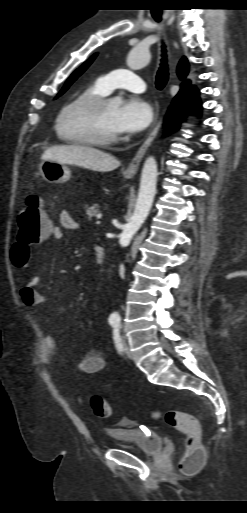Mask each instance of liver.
Here are the masks:
<instances>
[{"label": "liver", "instance_id": "liver-1", "mask_svg": "<svg viewBox=\"0 0 247 513\" xmlns=\"http://www.w3.org/2000/svg\"><path fill=\"white\" fill-rule=\"evenodd\" d=\"M41 159L73 164L97 172H108L120 165L110 154L83 145L53 146L44 151Z\"/></svg>", "mask_w": 247, "mask_h": 513}]
</instances>
